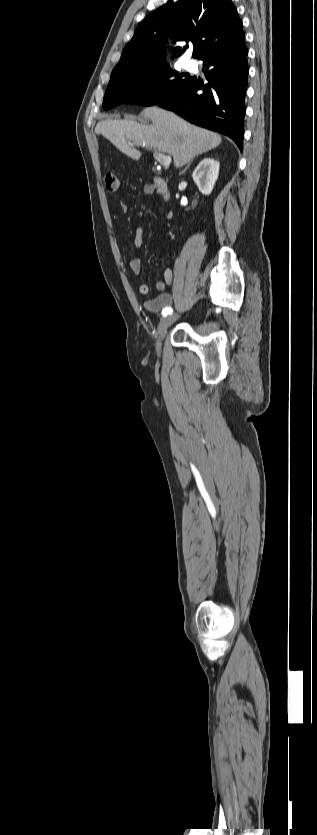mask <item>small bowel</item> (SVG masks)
Listing matches in <instances>:
<instances>
[{"mask_svg": "<svg viewBox=\"0 0 317 835\" xmlns=\"http://www.w3.org/2000/svg\"><path fill=\"white\" fill-rule=\"evenodd\" d=\"M144 191H145V193H149L151 191V188L147 186V187L144 188ZM121 209H122L123 212H126L127 209H128V206L125 203H121ZM171 215H172V212L169 211L167 213V216L170 217ZM143 234H144V228L142 226L137 227V229L135 231V238H134V245H135V248H137V249L141 248V246L143 244ZM129 267H130V270L135 275H138L140 273V270H141L140 260L136 259V258L131 259L130 262H129ZM172 281H173V271L170 267H168L164 270L163 279L156 282V284H155V288L159 292V294L154 299L144 301L143 302L144 309H146L150 313L155 314V313H159V312L163 311V309H165L167 307H171V305L173 303V298L169 293L165 292V289L172 284ZM148 292H149V287L146 284H141L139 286V293L141 295H147Z\"/></svg>", "mask_w": 317, "mask_h": 835, "instance_id": "obj_1", "label": "small bowel"}]
</instances>
